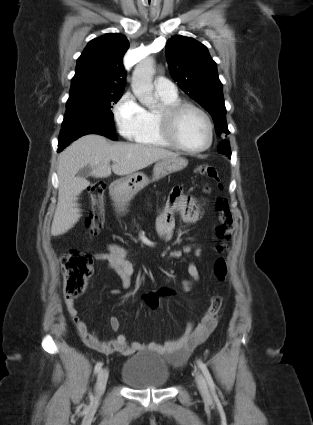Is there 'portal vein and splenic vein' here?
I'll return each mask as SVG.
<instances>
[{
	"label": "portal vein and splenic vein",
	"mask_w": 313,
	"mask_h": 425,
	"mask_svg": "<svg viewBox=\"0 0 313 425\" xmlns=\"http://www.w3.org/2000/svg\"><path fill=\"white\" fill-rule=\"evenodd\" d=\"M113 161H114V162H118V160H117V159H113Z\"/></svg>",
	"instance_id": "1"
}]
</instances>
